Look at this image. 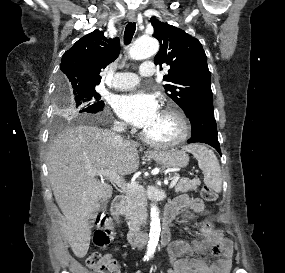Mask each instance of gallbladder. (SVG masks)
I'll return each mask as SVG.
<instances>
[{"label":"gallbladder","instance_id":"gallbladder-1","mask_svg":"<svg viewBox=\"0 0 285 273\" xmlns=\"http://www.w3.org/2000/svg\"><path fill=\"white\" fill-rule=\"evenodd\" d=\"M106 201H107V200H105V201L102 203L103 208L106 207Z\"/></svg>","mask_w":285,"mask_h":273}]
</instances>
